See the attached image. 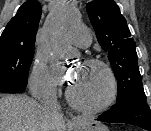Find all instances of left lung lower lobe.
<instances>
[{
    "instance_id": "0a47b994",
    "label": "left lung lower lobe",
    "mask_w": 151,
    "mask_h": 131,
    "mask_svg": "<svg viewBox=\"0 0 151 131\" xmlns=\"http://www.w3.org/2000/svg\"><path fill=\"white\" fill-rule=\"evenodd\" d=\"M96 120L109 123H126L151 131V110L146 96L135 93L116 103Z\"/></svg>"
}]
</instances>
